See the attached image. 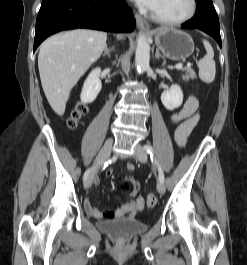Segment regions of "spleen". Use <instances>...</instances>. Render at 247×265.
Listing matches in <instances>:
<instances>
[{
	"mask_svg": "<svg viewBox=\"0 0 247 265\" xmlns=\"http://www.w3.org/2000/svg\"><path fill=\"white\" fill-rule=\"evenodd\" d=\"M203 44L207 54L198 62L199 78L205 83H211L216 73L214 51L208 41L203 40Z\"/></svg>",
	"mask_w": 247,
	"mask_h": 265,
	"instance_id": "spleen-1",
	"label": "spleen"
}]
</instances>
